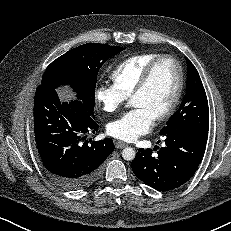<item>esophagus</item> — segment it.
Masks as SVG:
<instances>
[{"mask_svg":"<svg viewBox=\"0 0 231 231\" xmlns=\"http://www.w3.org/2000/svg\"><path fill=\"white\" fill-rule=\"evenodd\" d=\"M126 146H127V144L124 143V142H122V141H117V142L115 143V147H116L117 149H122V148H124V147H126Z\"/></svg>","mask_w":231,"mask_h":231,"instance_id":"34e87169","label":"esophagus"}]
</instances>
